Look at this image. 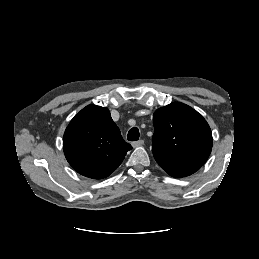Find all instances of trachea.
<instances>
[{
  "label": "trachea",
  "instance_id": "obj_1",
  "mask_svg": "<svg viewBox=\"0 0 259 259\" xmlns=\"http://www.w3.org/2000/svg\"><path fill=\"white\" fill-rule=\"evenodd\" d=\"M140 133L137 127H133L129 130L127 134V139L129 141H137L139 139Z\"/></svg>",
  "mask_w": 259,
  "mask_h": 259
}]
</instances>
